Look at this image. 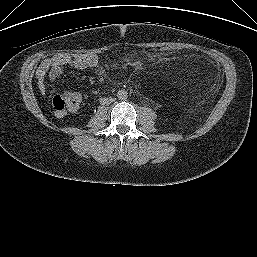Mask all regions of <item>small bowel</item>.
<instances>
[{
  "mask_svg": "<svg viewBox=\"0 0 257 257\" xmlns=\"http://www.w3.org/2000/svg\"><path fill=\"white\" fill-rule=\"evenodd\" d=\"M99 59L94 54L65 55L57 54L42 61L36 70L37 86L42 94L46 93L45 81L48 78L51 82L56 81L62 74L66 65L76 69H88L98 66ZM58 117L63 114H56Z\"/></svg>",
  "mask_w": 257,
  "mask_h": 257,
  "instance_id": "c3829d8e",
  "label": "small bowel"
}]
</instances>
